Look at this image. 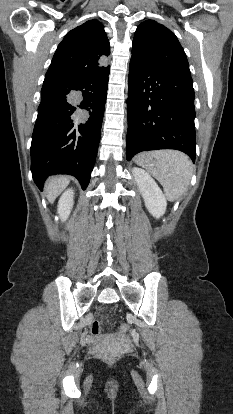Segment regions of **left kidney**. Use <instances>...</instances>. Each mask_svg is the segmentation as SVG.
Masks as SVG:
<instances>
[{
  "mask_svg": "<svg viewBox=\"0 0 233 414\" xmlns=\"http://www.w3.org/2000/svg\"><path fill=\"white\" fill-rule=\"evenodd\" d=\"M135 182L150 214L159 218L166 211L167 199L155 180L143 169H132Z\"/></svg>",
  "mask_w": 233,
  "mask_h": 414,
  "instance_id": "left-kidney-1",
  "label": "left kidney"
}]
</instances>
